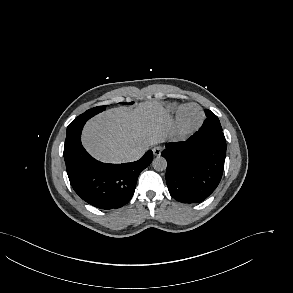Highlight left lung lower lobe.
I'll list each match as a JSON object with an SVG mask.
<instances>
[{"label": "left lung lower lobe", "mask_w": 293, "mask_h": 293, "mask_svg": "<svg viewBox=\"0 0 293 293\" xmlns=\"http://www.w3.org/2000/svg\"><path fill=\"white\" fill-rule=\"evenodd\" d=\"M161 155L167 160L166 183L171 196L182 203H198L221 180L226 140L216 126L203 123L188 140L166 144Z\"/></svg>", "instance_id": "0a47b994"}]
</instances>
